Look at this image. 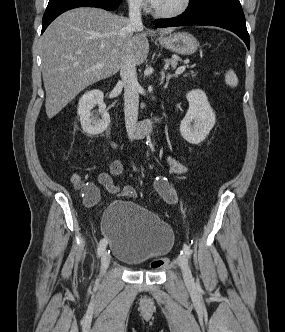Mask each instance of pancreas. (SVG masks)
<instances>
[{"instance_id": "pancreas-1", "label": "pancreas", "mask_w": 285, "mask_h": 332, "mask_svg": "<svg viewBox=\"0 0 285 332\" xmlns=\"http://www.w3.org/2000/svg\"><path fill=\"white\" fill-rule=\"evenodd\" d=\"M166 63H169L173 67H175L177 65V60H175V59H166ZM192 74H193V72H192Z\"/></svg>"}]
</instances>
